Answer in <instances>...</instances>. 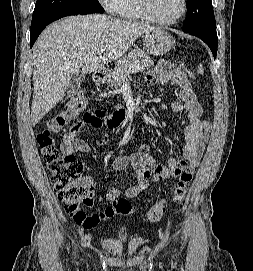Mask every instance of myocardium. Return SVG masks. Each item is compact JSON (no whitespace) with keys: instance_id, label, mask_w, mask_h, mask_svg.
<instances>
[{"instance_id":"obj_1","label":"myocardium","mask_w":253,"mask_h":271,"mask_svg":"<svg viewBox=\"0 0 253 271\" xmlns=\"http://www.w3.org/2000/svg\"><path fill=\"white\" fill-rule=\"evenodd\" d=\"M137 2H138L139 10H140L143 18H145L146 20H148L152 23H155L158 25H164V26L174 25V24L178 23L186 15L187 9H188V1L182 0V7H181L180 13L172 19L162 20V19L156 18L151 13V11L149 9V5H148V0H137Z\"/></svg>"}]
</instances>
